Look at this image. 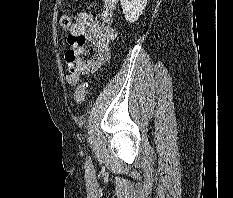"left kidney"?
Instances as JSON below:
<instances>
[{
	"instance_id": "1",
	"label": "left kidney",
	"mask_w": 233,
	"mask_h": 198,
	"mask_svg": "<svg viewBox=\"0 0 233 198\" xmlns=\"http://www.w3.org/2000/svg\"><path fill=\"white\" fill-rule=\"evenodd\" d=\"M125 19L133 23L144 11L148 0H120Z\"/></svg>"
}]
</instances>
